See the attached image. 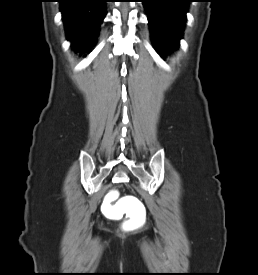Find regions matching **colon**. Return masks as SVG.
I'll use <instances>...</instances> for the list:
<instances>
[{
  "instance_id": "1",
  "label": "colon",
  "mask_w": 258,
  "mask_h": 275,
  "mask_svg": "<svg viewBox=\"0 0 258 275\" xmlns=\"http://www.w3.org/2000/svg\"><path fill=\"white\" fill-rule=\"evenodd\" d=\"M110 196L112 199H117V197H118L117 193L114 191L110 193Z\"/></svg>"
}]
</instances>
